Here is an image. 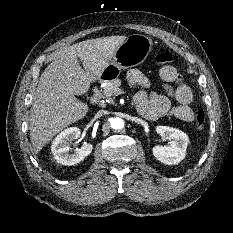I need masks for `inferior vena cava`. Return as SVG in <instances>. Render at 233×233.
Instances as JSON below:
<instances>
[{
	"label": "inferior vena cava",
	"instance_id": "1",
	"mask_svg": "<svg viewBox=\"0 0 233 233\" xmlns=\"http://www.w3.org/2000/svg\"><path fill=\"white\" fill-rule=\"evenodd\" d=\"M105 113H106V111L100 110V111L97 113V116H102V115L105 114Z\"/></svg>",
	"mask_w": 233,
	"mask_h": 233
}]
</instances>
